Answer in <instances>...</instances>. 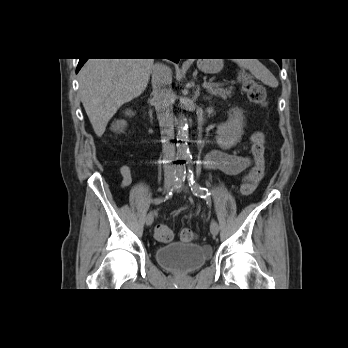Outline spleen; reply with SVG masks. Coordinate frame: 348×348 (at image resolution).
<instances>
[{
  "mask_svg": "<svg viewBox=\"0 0 348 348\" xmlns=\"http://www.w3.org/2000/svg\"><path fill=\"white\" fill-rule=\"evenodd\" d=\"M236 62L243 68L248 69L256 79L265 85L277 87L278 81L274 75L257 59H237Z\"/></svg>",
  "mask_w": 348,
  "mask_h": 348,
  "instance_id": "spleen-1",
  "label": "spleen"
}]
</instances>
